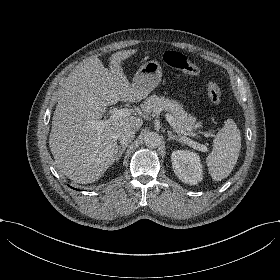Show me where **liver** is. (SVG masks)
<instances>
[{"label": "liver", "mask_w": 280, "mask_h": 280, "mask_svg": "<svg viewBox=\"0 0 280 280\" xmlns=\"http://www.w3.org/2000/svg\"><path fill=\"white\" fill-rule=\"evenodd\" d=\"M136 50L118 51L110 69L99 58L86 61L65 79V89L54 111L49 145L57 167L74 182L93 183L110 167L118 153L117 133L138 131L143 119L130 115L101 121L107 106L119 101L140 102L147 95L132 87L120 66Z\"/></svg>", "instance_id": "6515ba94"}]
</instances>
